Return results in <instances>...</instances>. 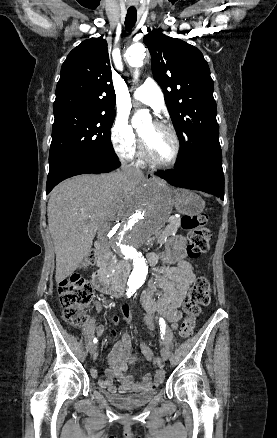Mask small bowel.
<instances>
[{
  "instance_id": "1",
  "label": "small bowel",
  "mask_w": 277,
  "mask_h": 438,
  "mask_svg": "<svg viewBox=\"0 0 277 438\" xmlns=\"http://www.w3.org/2000/svg\"><path fill=\"white\" fill-rule=\"evenodd\" d=\"M152 261L155 257H151ZM195 280V274L190 262L185 259L184 253H180L173 266H161L159 273L149 285L148 289L143 293L141 302L150 315L158 313L162 315L172 326L177 328V323L182 318L180 307L187 294L191 284ZM161 290L160 296L156 299L155 294ZM100 310L101 306L97 305ZM126 319L130 317L125 313ZM148 330L155 328L154 322L151 320L146 322ZM105 331L103 325L97 327V333L100 335ZM116 331V328H113ZM131 331V328H127ZM141 351L147 360H151L152 351L145 345L141 344ZM110 367L106 370V378L99 381L101 387L108 389L109 392L115 393L118 389L121 391H151L156 389L164 378L163 369L155 373L152 378L149 373H137L138 381L132 375L126 374L129 364L136 362V357L131 355V337L128 333H123L118 341H116L109 354ZM113 379H116L120 386L113 384Z\"/></svg>"
}]
</instances>
